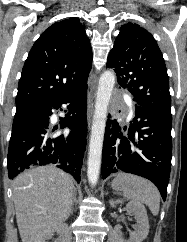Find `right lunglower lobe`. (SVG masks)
I'll return each mask as SVG.
<instances>
[{"label":"right lung lower lobe","mask_w":187,"mask_h":242,"mask_svg":"<svg viewBox=\"0 0 187 242\" xmlns=\"http://www.w3.org/2000/svg\"><path fill=\"white\" fill-rule=\"evenodd\" d=\"M86 103L87 84L17 111L8 148L9 178L33 166L55 164L79 183L86 149ZM62 104L67 110L60 128L70 132L53 136L49 116L53 109L62 110Z\"/></svg>","instance_id":"obj_1"}]
</instances>
